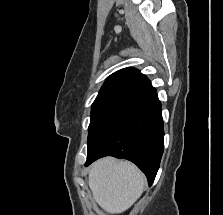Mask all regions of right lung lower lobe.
Wrapping results in <instances>:
<instances>
[{
	"label": "right lung lower lobe",
	"mask_w": 223,
	"mask_h": 215,
	"mask_svg": "<svg viewBox=\"0 0 223 215\" xmlns=\"http://www.w3.org/2000/svg\"><path fill=\"white\" fill-rule=\"evenodd\" d=\"M163 141L161 104L154 93L126 114L87 154L85 166L105 156L127 159L141 169L151 186L163 154Z\"/></svg>",
	"instance_id": "obj_1"
}]
</instances>
